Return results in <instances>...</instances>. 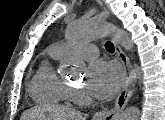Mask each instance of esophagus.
<instances>
[{
  "label": "esophagus",
  "mask_w": 165,
  "mask_h": 120,
  "mask_svg": "<svg viewBox=\"0 0 165 120\" xmlns=\"http://www.w3.org/2000/svg\"><path fill=\"white\" fill-rule=\"evenodd\" d=\"M112 40L115 47L116 55L124 66L127 75L122 90L117 96L115 106L111 110L97 112L96 114H94L93 120H117L134 91L136 81V74L134 72V69L130 63L129 58L121 49L116 39L112 38Z\"/></svg>",
  "instance_id": "obj_1"
}]
</instances>
